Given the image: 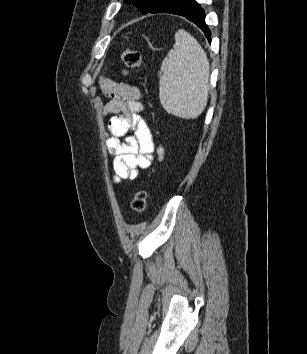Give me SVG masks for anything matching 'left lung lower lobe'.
I'll list each match as a JSON object with an SVG mask.
<instances>
[{"instance_id": "left-lung-lower-lobe-1", "label": "left lung lower lobe", "mask_w": 307, "mask_h": 354, "mask_svg": "<svg viewBox=\"0 0 307 354\" xmlns=\"http://www.w3.org/2000/svg\"><path fill=\"white\" fill-rule=\"evenodd\" d=\"M155 13L181 15L195 23L211 42V32L205 23L204 10L195 0H169L164 7Z\"/></svg>"}]
</instances>
